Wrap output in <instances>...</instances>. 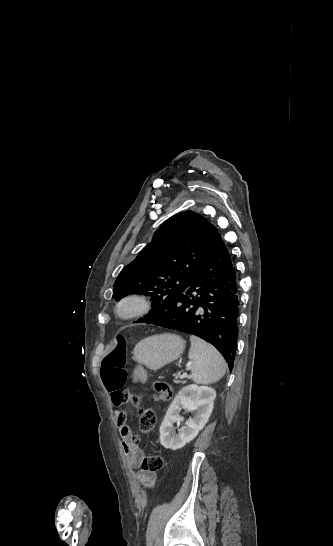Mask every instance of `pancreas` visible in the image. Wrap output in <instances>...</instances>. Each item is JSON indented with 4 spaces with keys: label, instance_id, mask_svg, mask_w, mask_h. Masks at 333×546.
Masks as SVG:
<instances>
[{
    "label": "pancreas",
    "instance_id": "1",
    "mask_svg": "<svg viewBox=\"0 0 333 546\" xmlns=\"http://www.w3.org/2000/svg\"><path fill=\"white\" fill-rule=\"evenodd\" d=\"M176 382H177V383H179L180 381H179V380H177Z\"/></svg>",
    "mask_w": 333,
    "mask_h": 546
}]
</instances>
